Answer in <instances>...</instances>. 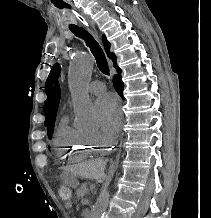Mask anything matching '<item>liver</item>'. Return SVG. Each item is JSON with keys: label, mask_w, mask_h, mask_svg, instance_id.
I'll list each match as a JSON object with an SVG mask.
<instances>
[{"label": "liver", "mask_w": 211, "mask_h": 218, "mask_svg": "<svg viewBox=\"0 0 211 218\" xmlns=\"http://www.w3.org/2000/svg\"><path fill=\"white\" fill-rule=\"evenodd\" d=\"M105 166L106 162H103V160H89L80 168L79 174L85 176V178H90V180H97L101 184L106 178L104 174Z\"/></svg>", "instance_id": "liver-1"}]
</instances>
